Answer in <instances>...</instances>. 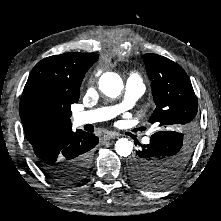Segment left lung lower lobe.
<instances>
[{"instance_id": "left-lung-lower-lobe-1", "label": "left lung lower lobe", "mask_w": 221, "mask_h": 221, "mask_svg": "<svg viewBox=\"0 0 221 221\" xmlns=\"http://www.w3.org/2000/svg\"><path fill=\"white\" fill-rule=\"evenodd\" d=\"M173 138L174 134L171 131H160L151 136V141L149 144H139L140 149L136 152V155L132 158L129 164V171L134 181L141 180V176L144 173L143 171L149 170L146 167H149V162L154 159V156L157 154L156 152L160 145H162L164 141L172 140ZM158 174L159 173H156L155 175ZM173 181L174 180L170 181L169 184H171Z\"/></svg>"}]
</instances>
